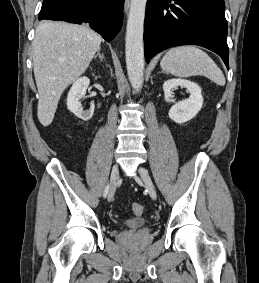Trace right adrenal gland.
<instances>
[{
    "label": "right adrenal gland",
    "instance_id": "obj_1",
    "mask_svg": "<svg viewBox=\"0 0 259 283\" xmlns=\"http://www.w3.org/2000/svg\"><path fill=\"white\" fill-rule=\"evenodd\" d=\"M97 57H99L100 60L103 62L104 55H102V54L100 53V50H98V51H97V54L94 56L95 59H96Z\"/></svg>",
    "mask_w": 259,
    "mask_h": 283
}]
</instances>
